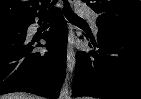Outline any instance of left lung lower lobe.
<instances>
[{"label":"left lung lower lobe","mask_w":141,"mask_h":99,"mask_svg":"<svg viewBox=\"0 0 141 99\" xmlns=\"http://www.w3.org/2000/svg\"><path fill=\"white\" fill-rule=\"evenodd\" d=\"M92 44L98 53L77 52L73 96L141 99V30L98 26Z\"/></svg>","instance_id":"obj_1"}]
</instances>
